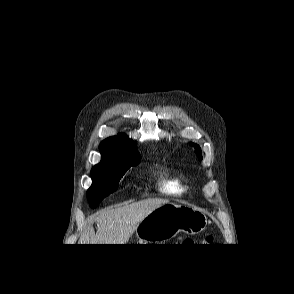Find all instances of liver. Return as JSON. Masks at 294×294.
Returning <instances> with one entry per match:
<instances>
[{"mask_svg": "<svg viewBox=\"0 0 294 294\" xmlns=\"http://www.w3.org/2000/svg\"><path fill=\"white\" fill-rule=\"evenodd\" d=\"M168 203L165 199H145L101 211L84 229L79 244H126L137 225L152 211ZM97 224V232L93 222Z\"/></svg>", "mask_w": 294, "mask_h": 294, "instance_id": "1", "label": "liver"}]
</instances>
